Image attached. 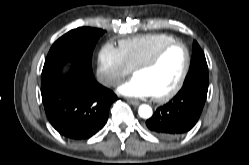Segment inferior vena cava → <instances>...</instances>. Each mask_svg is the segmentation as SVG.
I'll use <instances>...</instances> for the list:
<instances>
[{"label": "inferior vena cava", "instance_id": "inferior-vena-cava-1", "mask_svg": "<svg viewBox=\"0 0 249 165\" xmlns=\"http://www.w3.org/2000/svg\"><path fill=\"white\" fill-rule=\"evenodd\" d=\"M119 82L117 80H110L109 84L110 85H117Z\"/></svg>", "mask_w": 249, "mask_h": 165}]
</instances>
